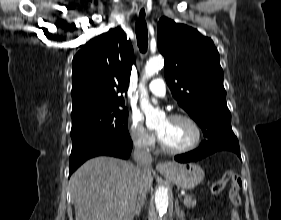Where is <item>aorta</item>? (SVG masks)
<instances>
[{
	"mask_svg": "<svg viewBox=\"0 0 281 220\" xmlns=\"http://www.w3.org/2000/svg\"><path fill=\"white\" fill-rule=\"evenodd\" d=\"M164 60L161 56L152 57L147 61L145 66L144 79L152 77L154 74L162 68ZM141 98H140V107L146 116V125L147 127H153L158 118L161 115V112L156 110L147 97V91L144 83H141L139 86ZM155 205L156 209L159 212V216L162 217L168 208V191L159 187L155 193Z\"/></svg>",
	"mask_w": 281,
	"mask_h": 220,
	"instance_id": "762f6f07",
	"label": "aorta"
}]
</instances>
